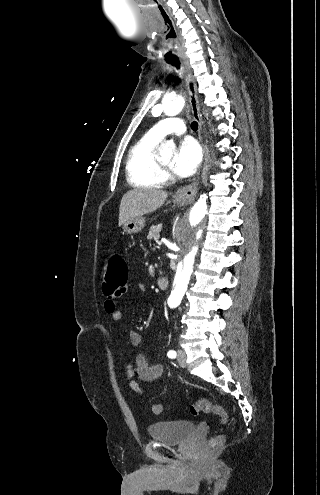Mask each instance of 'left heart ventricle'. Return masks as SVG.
Segmentation results:
<instances>
[{
  "label": "left heart ventricle",
  "mask_w": 320,
  "mask_h": 495,
  "mask_svg": "<svg viewBox=\"0 0 320 495\" xmlns=\"http://www.w3.org/2000/svg\"><path fill=\"white\" fill-rule=\"evenodd\" d=\"M173 158L174 156L172 153L160 156V160L162 161V163H164L167 166L171 165Z\"/></svg>",
  "instance_id": "b2bd125f"
}]
</instances>
